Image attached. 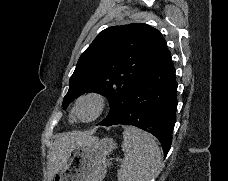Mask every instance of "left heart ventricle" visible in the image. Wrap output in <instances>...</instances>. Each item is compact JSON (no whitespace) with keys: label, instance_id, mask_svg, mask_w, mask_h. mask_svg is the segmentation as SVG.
Instances as JSON below:
<instances>
[{"label":"left heart ventricle","instance_id":"b2bd125f","mask_svg":"<svg viewBox=\"0 0 228 181\" xmlns=\"http://www.w3.org/2000/svg\"><path fill=\"white\" fill-rule=\"evenodd\" d=\"M80 113L83 116H89L91 114V108L87 103H83L80 108Z\"/></svg>","mask_w":228,"mask_h":181}]
</instances>
